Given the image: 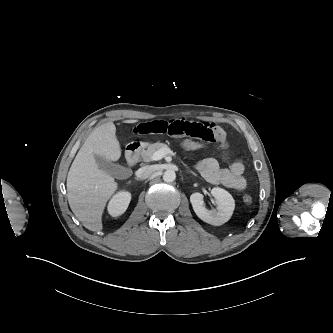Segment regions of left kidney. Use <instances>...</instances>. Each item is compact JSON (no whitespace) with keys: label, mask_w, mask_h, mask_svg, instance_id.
<instances>
[{"label":"left kidney","mask_w":333,"mask_h":333,"mask_svg":"<svg viewBox=\"0 0 333 333\" xmlns=\"http://www.w3.org/2000/svg\"><path fill=\"white\" fill-rule=\"evenodd\" d=\"M211 194L217 203V209L215 210H208L205 207L203 195L198 192L190 196V202L194 212L201 220L211 225L220 226L231 218L235 202L231 194L222 188H213Z\"/></svg>","instance_id":"left-kidney-1"}]
</instances>
